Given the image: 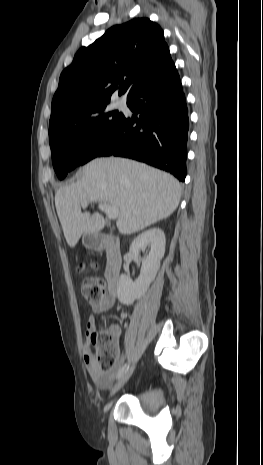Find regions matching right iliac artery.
<instances>
[{"label":"right iliac artery","mask_w":263,"mask_h":465,"mask_svg":"<svg viewBox=\"0 0 263 465\" xmlns=\"http://www.w3.org/2000/svg\"><path fill=\"white\" fill-rule=\"evenodd\" d=\"M129 368V363H126L122 366V368L120 369L118 375H117V378H120Z\"/></svg>","instance_id":"1"}]
</instances>
